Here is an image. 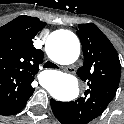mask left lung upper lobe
I'll return each mask as SVG.
<instances>
[{
  "mask_svg": "<svg viewBox=\"0 0 124 124\" xmlns=\"http://www.w3.org/2000/svg\"><path fill=\"white\" fill-rule=\"evenodd\" d=\"M77 35L85 59L77 74L87 81L89 89L83 97L63 103L70 124H87L101 115L114 98L121 65L114 46L95 24H80Z\"/></svg>",
  "mask_w": 124,
  "mask_h": 124,
  "instance_id": "left-lung-upper-lobe-1",
  "label": "left lung upper lobe"
}]
</instances>
